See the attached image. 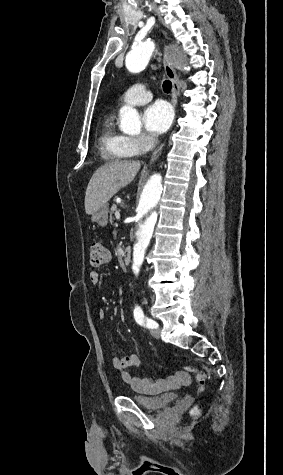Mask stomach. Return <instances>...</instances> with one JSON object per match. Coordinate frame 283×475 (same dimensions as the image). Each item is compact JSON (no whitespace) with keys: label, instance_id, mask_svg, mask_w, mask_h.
Instances as JSON below:
<instances>
[{"label":"stomach","instance_id":"1","mask_svg":"<svg viewBox=\"0 0 283 475\" xmlns=\"http://www.w3.org/2000/svg\"><path fill=\"white\" fill-rule=\"evenodd\" d=\"M108 212H109V206L108 204H104L102 208H99L97 212H94V214H91L92 222H96L98 226H106L108 222Z\"/></svg>","mask_w":283,"mask_h":475}]
</instances>
